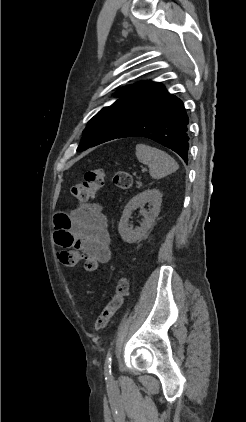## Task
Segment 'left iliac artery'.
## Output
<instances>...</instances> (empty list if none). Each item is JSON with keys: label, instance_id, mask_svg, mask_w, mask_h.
<instances>
[{"label": "left iliac artery", "instance_id": "left-iliac-artery-1", "mask_svg": "<svg viewBox=\"0 0 246 422\" xmlns=\"http://www.w3.org/2000/svg\"><path fill=\"white\" fill-rule=\"evenodd\" d=\"M111 362H112L111 354H108L105 360V364H104L105 379L108 382L113 381V376H112V371H111Z\"/></svg>", "mask_w": 246, "mask_h": 422}]
</instances>
